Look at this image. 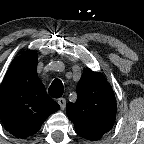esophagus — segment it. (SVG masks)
Wrapping results in <instances>:
<instances>
[{
  "label": "esophagus",
  "instance_id": "obj_1",
  "mask_svg": "<svg viewBox=\"0 0 144 144\" xmlns=\"http://www.w3.org/2000/svg\"><path fill=\"white\" fill-rule=\"evenodd\" d=\"M58 104L60 105V108L63 110L66 106V99L65 98H59Z\"/></svg>",
  "mask_w": 144,
  "mask_h": 144
}]
</instances>
